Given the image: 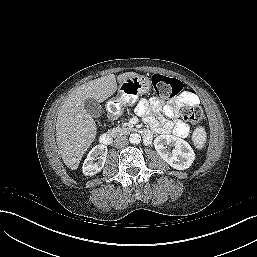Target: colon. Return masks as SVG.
Here are the masks:
<instances>
[{"instance_id":"obj_1","label":"colon","mask_w":257,"mask_h":257,"mask_svg":"<svg viewBox=\"0 0 257 257\" xmlns=\"http://www.w3.org/2000/svg\"><path fill=\"white\" fill-rule=\"evenodd\" d=\"M151 82L154 93L161 99L171 98L179 94L183 88L181 81L178 79L161 74L153 75ZM182 117L187 122L199 124L203 121L204 116L199 107L192 106L183 109Z\"/></svg>"}]
</instances>
